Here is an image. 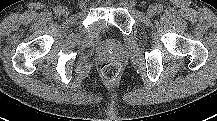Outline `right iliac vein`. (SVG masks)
Listing matches in <instances>:
<instances>
[{
	"mask_svg": "<svg viewBox=\"0 0 217 121\" xmlns=\"http://www.w3.org/2000/svg\"><path fill=\"white\" fill-rule=\"evenodd\" d=\"M60 14L64 17H67L69 15V10L67 8H63V9H61Z\"/></svg>",
	"mask_w": 217,
	"mask_h": 121,
	"instance_id": "right-iliac-vein-1",
	"label": "right iliac vein"
}]
</instances>
